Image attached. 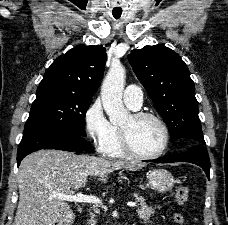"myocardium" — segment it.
I'll use <instances>...</instances> for the list:
<instances>
[{
	"instance_id": "obj_1",
	"label": "myocardium",
	"mask_w": 228,
	"mask_h": 225,
	"mask_svg": "<svg viewBox=\"0 0 228 225\" xmlns=\"http://www.w3.org/2000/svg\"><path fill=\"white\" fill-rule=\"evenodd\" d=\"M132 116L137 121H140V120H143L146 118H152V119L156 120L157 122H159L163 128L165 139H164V144L159 152H157L153 155H145V154H142L139 151H137V149L132 144L129 133L124 128H122L121 129L122 145H123V149L126 152V154L133 158H136L139 160H147V161L156 160V159L162 157L165 154V152L167 151L169 143H170V130H169V127H168L167 123L165 122V120L162 117H160L159 115L150 113V112H137V113H134Z\"/></svg>"
}]
</instances>
